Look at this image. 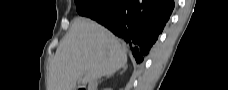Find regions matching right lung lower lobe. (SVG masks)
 <instances>
[{"mask_svg": "<svg viewBox=\"0 0 228 90\" xmlns=\"http://www.w3.org/2000/svg\"><path fill=\"white\" fill-rule=\"evenodd\" d=\"M172 0H106L96 17L128 45L137 63H142L168 21Z\"/></svg>", "mask_w": 228, "mask_h": 90, "instance_id": "1", "label": "right lung lower lobe"}]
</instances>
